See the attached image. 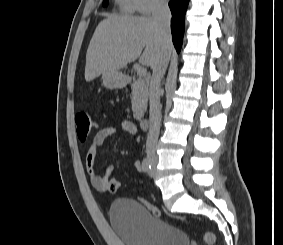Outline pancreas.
<instances>
[{
	"instance_id": "obj_1",
	"label": "pancreas",
	"mask_w": 283,
	"mask_h": 245,
	"mask_svg": "<svg viewBox=\"0 0 283 245\" xmlns=\"http://www.w3.org/2000/svg\"><path fill=\"white\" fill-rule=\"evenodd\" d=\"M148 86L144 79L138 78L132 84V111L136 120H141L147 108Z\"/></svg>"
}]
</instances>
